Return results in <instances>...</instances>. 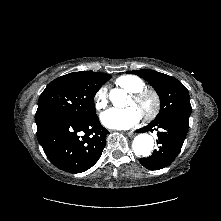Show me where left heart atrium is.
<instances>
[{
    "label": "left heart atrium",
    "instance_id": "left-heart-atrium-1",
    "mask_svg": "<svg viewBox=\"0 0 221 221\" xmlns=\"http://www.w3.org/2000/svg\"><path fill=\"white\" fill-rule=\"evenodd\" d=\"M141 117L142 114L134 106L125 109L111 108L102 113L101 122L107 128L125 130L136 126Z\"/></svg>",
    "mask_w": 221,
    "mask_h": 221
}]
</instances>
